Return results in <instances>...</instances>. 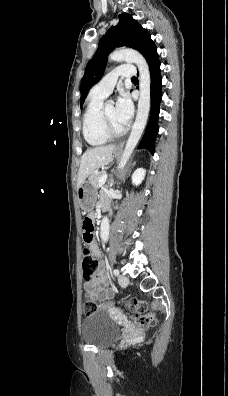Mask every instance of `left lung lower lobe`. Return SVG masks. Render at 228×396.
Wrapping results in <instances>:
<instances>
[{
  "instance_id": "obj_1",
  "label": "left lung lower lobe",
  "mask_w": 228,
  "mask_h": 396,
  "mask_svg": "<svg viewBox=\"0 0 228 396\" xmlns=\"http://www.w3.org/2000/svg\"><path fill=\"white\" fill-rule=\"evenodd\" d=\"M144 57L149 65L151 76V112L145 134L139 143L138 148L148 149L151 152H154L155 137L158 133L159 105L162 98L160 62L154 42L151 43Z\"/></svg>"
}]
</instances>
